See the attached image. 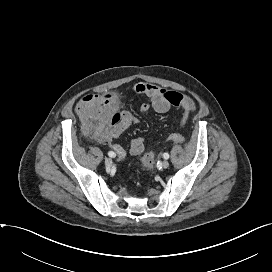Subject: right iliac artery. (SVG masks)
<instances>
[{"instance_id": "right-iliac-artery-1", "label": "right iliac artery", "mask_w": 272, "mask_h": 272, "mask_svg": "<svg viewBox=\"0 0 272 272\" xmlns=\"http://www.w3.org/2000/svg\"><path fill=\"white\" fill-rule=\"evenodd\" d=\"M108 155H109V157H112V158H114L116 156V154L113 151H109Z\"/></svg>"}]
</instances>
